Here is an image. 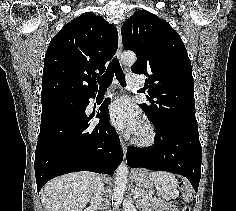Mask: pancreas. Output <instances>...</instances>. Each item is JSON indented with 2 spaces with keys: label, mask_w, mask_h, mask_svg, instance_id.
I'll use <instances>...</instances> for the list:
<instances>
[{
  "label": "pancreas",
  "mask_w": 236,
  "mask_h": 211,
  "mask_svg": "<svg viewBox=\"0 0 236 211\" xmlns=\"http://www.w3.org/2000/svg\"><path fill=\"white\" fill-rule=\"evenodd\" d=\"M135 194L138 195L136 200V205L141 208L142 211H151L156 209V211H162L159 208L163 206L162 201L159 198L150 196L145 190L138 189Z\"/></svg>",
  "instance_id": "1"
}]
</instances>
